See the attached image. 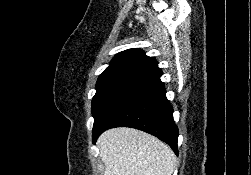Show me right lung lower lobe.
<instances>
[{"label":"right lung lower lobe","instance_id":"obj_1","mask_svg":"<svg viewBox=\"0 0 251 175\" xmlns=\"http://www.w3.org/2000/svg\"><path fill=\"white\" fill-rule=\"evenodd\" d=\"M160 77L138 80L122 92L103 115L97 131L93 133V143L107 129L132 127L166 142L178 155L179 132Z\"/></svg>","mask_w":251,"mask_h":175}]
</instances>
